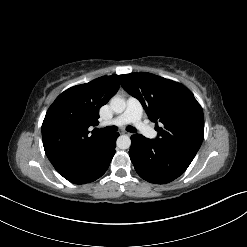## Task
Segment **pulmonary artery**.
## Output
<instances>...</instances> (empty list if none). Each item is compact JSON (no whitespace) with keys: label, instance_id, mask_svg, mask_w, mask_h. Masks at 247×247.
Here are the masks:
<instances>
[{"label":"pulmonary artery","instance_id":"obj_1","mask_svg":"<svg viewBox=\"0 0 247 247\" xmlns=\"http://www.w3.org/2000/svg\"><path fill=\"white\" fill-rule=\"evenodd\" d=\"M142 114L143 107L140 101L134 97H129L127 99L125 111L113 119L109 124L122 126L132 123L143 135L148 138H154L156 132L151 126L142 121Z\"/></svg>","mask_w":247,"mask_h":247}]
</instances>
